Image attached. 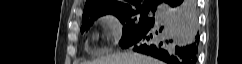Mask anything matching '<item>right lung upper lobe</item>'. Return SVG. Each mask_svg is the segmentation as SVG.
Segmentation results:
<instances>
[{
  "label": "right lung upper lobe",
  "instance_id": "1",
  "mask_svg": "<svg viewBox=\"0 0 242 64\" xmlns=\"http://www.w3.org/2000/svg\"><path fill=\"white\" fill-rule=\"evenodd\" d=\"M142 0H87L83 16L104 13L118 10H125L134 7L141 6ZM159 0H144L143 6H153L157 4Z\"/></svg>",
  "mask_w": 242,
  "mask_h": 64
}]
</instances>
